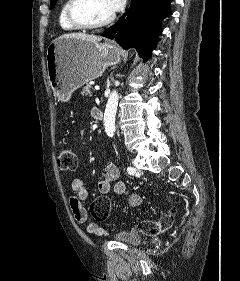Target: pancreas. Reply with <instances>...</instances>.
<instances>
[{"mask_svg": "<svg viewBox=\"0 0 240 281\" xmlns=\"http://www.w3.org/2000/svg\"><path fill=\"white\" fill-rule=\"evenodd\" d=\"M91 89H92L91 85L88 84L85 87H83L81 94L85 96H92Z\"/></svg>", "mask_w": 240, "mask_h": 281, "instance_id": "1", "label": "pancreas"}]
</instances>
